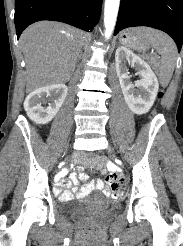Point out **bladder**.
Returning <instances> with one entry per match:
<instances>
[{"label": "bladder", "mask_w": 183, "mask_h": 246, "mask_svg": "<svg viewBox=\"0 0 183 246\" xmlns=\"http://www.w3.org/2000/svg\"><path fill=\"white\" fill-rule=\"evenodd\" d=\"M100 204H102V201H99V199L78 200L72 204H69V205L63 207L62 212L67 216L77 217V216L84 214L86 211H88V209L91 206L100 205ZM105 208L108 211L113 212V211L117 210L118 206L114 203H105Z\"/></svg>", "instance_id": "bladder-1"}]
</instances>
